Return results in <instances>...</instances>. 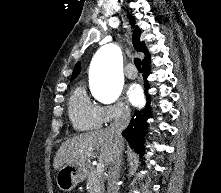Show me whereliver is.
<instances>
[{
  "mask_svg": "<svg viewBox=\"0 0 221 193\" xmlns=\"http://www.w3.org/2000/svg\"><path fill=\"white\" fill-rule=\"evenodd\" d=\"M119 147L123 149L124 139L122 138L119 143H116L114 135L109 129L81 134L66 140L60 146L54 158L53 167L58 170L66 164L85 166L95 149L100 150L99 162L109 165Z\"/></svg>",
  "mask_w": 221,
  "mask_h": 193,
  "instance_id": "obj_1",
  "label": "liver"
}]
</instances>
